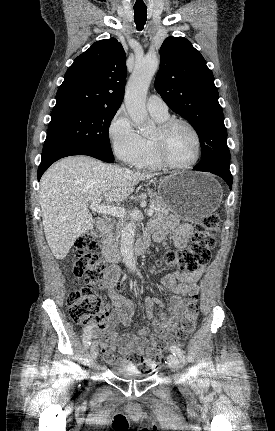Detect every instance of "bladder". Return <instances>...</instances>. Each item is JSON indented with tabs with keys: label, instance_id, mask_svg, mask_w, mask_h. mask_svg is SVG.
<instances>
[{
	"label": "bladder",
	"instance_id": "bladder-1",
	"mask_svg": "<svg viewBox=\"0 0 275 431\" xmlns=\"http://www.w3.org/2000/svg\"><path fill=\"white\" fill-rule=\"evenodd\" d=\"M113 370L120 375H130V376H134V377H145L148 374L145 372H141V371H136L133 368L127 366V365H123V364H114L112 366Z\"/></svg>",
	"mask_w": 275,
	"mask_h": 431
}]
</instances>
